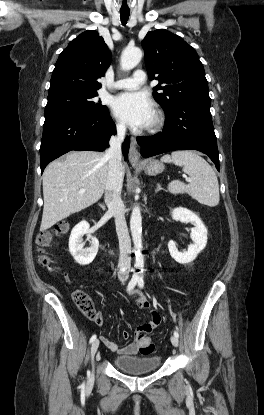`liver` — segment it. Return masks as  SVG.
<instances>
[{
    "label": "liver",
    "instance_id": "6515ba94",
    "mask_svg": "<svg viewBox=\"0 0 264 415\" xmlns=\"http://www.w3.org/2000/svg\"><path fill=\"white\" fill-rule=\"evenodd\" d=\"M108 171L105 154L94 151H73L64 160L50 163L43 173L40 231L96 203L106 188ZM82 189L84 193H80Z\"/></svg>",
    "mask_w": 264,
    "mask_h": 415
}]
</instances>
